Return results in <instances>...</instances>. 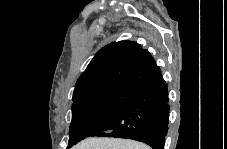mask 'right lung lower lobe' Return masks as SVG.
<instances>
[{"label": "right lung lower lobe", "instance_id": "obj_1", "mask_svg": "<svg viewBox=\"0 0 227 149\" xmlns=\"http://www.w3.org/2000/svg\"><path fill=\"white\" fill-rule=\"evenodd\" d=\"M168 87L162 74L139 84L126 102L89 137L128 138L163 149L168 132Z\"/></svg>", "mask_w": 227, "mask_h": 149}]
</instances>
